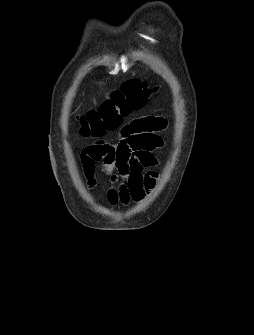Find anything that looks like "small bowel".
<instances>
[{"label":"small bowel","instance_id":"small-bowel-1","mask_svg":"<svg viewBox=\"0 0 254 335\" xmlns=\"http://www.w3.org/2000/svg\"><path fill=\"white\" fill-rule=\"evenodd\" d=\"M162 125L156 118H141L131 124H121L118 145L95 144L81 150V164L88 184H96V163L102 162V174L110 182L107 198L111 204L137 202L152 188L157 164L155 151L164 146L159 134Z\"/></svg>","mask_w":254,"mask_h":335}]
</instances>
